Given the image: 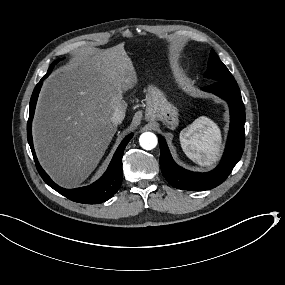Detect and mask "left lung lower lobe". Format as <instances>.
Segmentation results:
<instances>
[{"instance_id":"left-lung-lower-lobe-1","label":"left lung lower lobe","mask_w":285,"mask_h":285,"mask_svg":"<svg viewBox=\"0 0 285 285\" xmlns=\"http://www.w3.org/2000/svg\"><path fill=\"white\" fill-rule=\"evenodd\" d=\"M203 90L223 98L230 107L231 122L228 141L220 164L211 172L199 173L178 166L173 161L164 138L158 136L162 174L173 187L182 190L203 191L220 185L240 160L244 150L245 108L236 81H215Z\"/></svg>"}]
</instances>
